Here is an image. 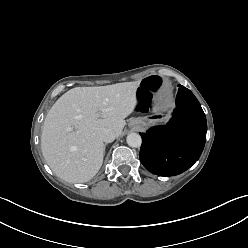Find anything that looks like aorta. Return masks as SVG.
Instances as JSON below:
<instances>
[{"mask_svg": "<svg viewBox=\"0 0 248 248\" xmlns=\"http://www.w3.org/2000/svg\"><path fill=\"white\" fill-rule=\"evenodd\" d=\"M126 141H127V144L130 146V147H133V148H138L141 146V143H142V139H141V136L137 133H130L127 135V138H126Z\"/></svg>", "mask_w": 248, "mask_h": 248, "instance_id": "aorta-1", "label": "aorta"}]
</instances>
